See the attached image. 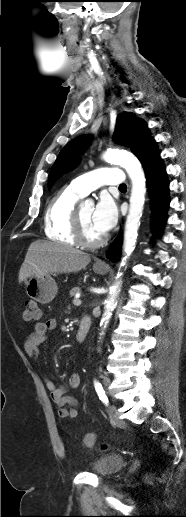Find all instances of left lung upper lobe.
<instances>
[{
    "label": "left lung upper lobe",
    "instance_id": "obj_1",
    "mask_svg": "<svg viewBox=\"0 0 186 517\" xmlns=\"http://www.w3.org/2000/svg\"><path fill=\"white\" fill-rule=\"evenodd\" d=\"M113 139L119 144L131 148L138 159L155 143L149 136L146 124L137 120L133 114L126 112L117 117ZM87 143V138L80 136L71 140L60 151L49 173V189L58 177L78 163L79 155Z\"/></svg>",
    "mask_w": 186,
    "mask_h": 517
}]
</instances>
